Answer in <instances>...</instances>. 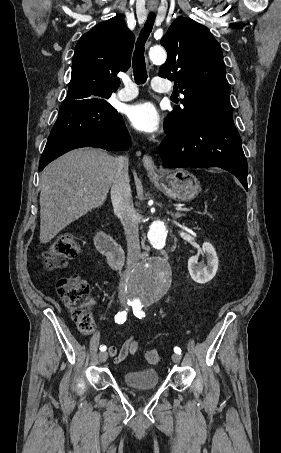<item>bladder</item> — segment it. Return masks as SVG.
<instances>
[{
	"label": "bladder",
	"mask_w": 281,
	"mask_h": 453,
	"mask_svg": "<svg viewBox=\"0 0 281 453\" xmlns=\"http://www.w3.org/2000/svg\"><path fill=\"white\" fill-rule=\"evenodd\" d=\"M122 379L127 386L138 389L153 388L159 383L158 373L154 369L128 371Z\"/></svg>",
	"instance_id": "1"
}]
</instances>
